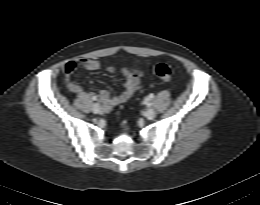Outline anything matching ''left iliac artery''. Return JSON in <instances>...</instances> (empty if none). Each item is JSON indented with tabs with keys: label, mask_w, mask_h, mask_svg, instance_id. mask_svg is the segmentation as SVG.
Segmentation results:
<instances>
[{
	"label": "left iliac artery",
	"mask_w": 260,
	"mask_h": 205,
	"mask_svg": "<svg viewBox=\"0 0 260 205\" xmlns=\"http://www.w3.org/2000/svg\"><path fill=\"white\" fill-rule=\"evenodd\" d=\"M153 97H154L153 95L149 96V98H153ZM147 105H148V107H151L153 105V103L152 102H148Z\"/></svg>",
	"instance_id": "44dca946"
}]
</instances>
